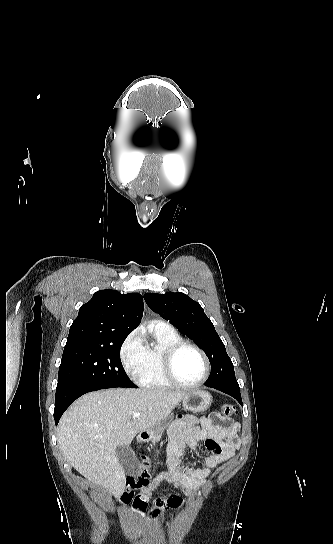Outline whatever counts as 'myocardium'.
<instances>
[{"mask_svg": "<svg viewBox=\"0 0 333 544\" xmlns=\"http://www.w3.org/2000/svg\"><path fill=\"white\" fill-rule=\"evenodd\" d=\"M184 349H192L196 351L201 358L203 359L204 365H205V373L204 376L195 383H185L182 382L175 371V362L178 357V355L184 350ZM161 365H162V371L165 376V378L174 386L185 388V389H191V388H197L202 386L208 379L211 374V364L209 361V358L207 357L206 353L197 345L186 342V341H179L177 343H174L170 346H168L162 354L161 359Z\"/></svg>", "mask_w": 333, "mask_h": 544, "instance_id": "f54148a6", "label": "myocardium"}]
</instances>
